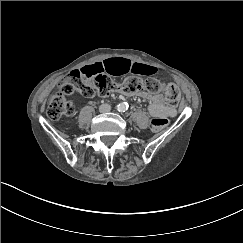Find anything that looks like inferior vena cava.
Masks as SVG:
<instances>
[{
  "label": "inferior vena cava",
  "instance_id": "obj_1",
  "mask_svg": "<svg viewBox=\"0 0 243 243\" xmlns=\"http://www.w3.org/2000/svg\"><path fill=\"white\" fill-rule=\"evenodd\" d=\"M110 111H111V106L108 104H102L99 106L100 113H105V112H110Z\"/></svg>",
  "mask_w": 243,
  "mask_h": 243
}]
</instances>
